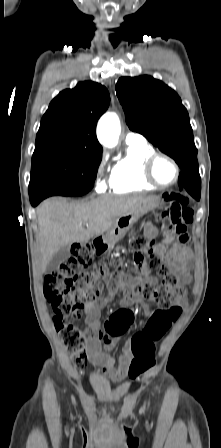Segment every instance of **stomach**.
Returning a JSON list of instances; mask_svg holds the SVG:
<instances>
[{
  "mask_svg": "<svg viewBox=\"0 0 221 448\" xmlns=\"http://www.w3.org/2000/svg\"><path fill=\"white\" fill-rule=\"evenodd\" d=\"M159 203V197H152L149 201L143 203L135 210H132L127 214L121 216L117 219L115 225L107 231V233L103 237V240L108 245H114L117 241L125 236L127 231L133 226L134 223L138 221L141 216L158 207Z\"/></svg>",
  "mask_w": 221,
  "mask_h": 448,
  "instance_id": "obj_1",
  "label": "stomach"
}]
</instances>
